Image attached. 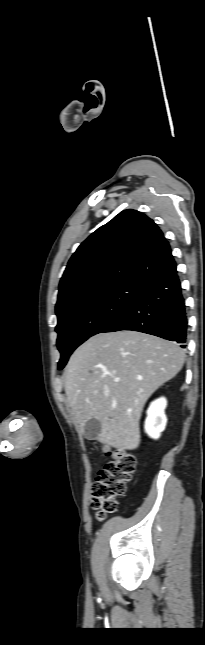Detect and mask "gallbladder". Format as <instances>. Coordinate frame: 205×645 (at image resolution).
<instances>
[{"instance_id":"bac80fb5","label":"gallbladder","mask_w":205,"mask_h":645,"mask_svg":"<svg viewBox=\"0 0 205 645\" xmlns=\"http://www.w3.org/2000/svg\"><path fill=\"white\" fill-rule=\"evenodd\" d=\"M101 431V424L96 419H90L84 426V437L94 440Z\"/></svg>"}]
</instances>
